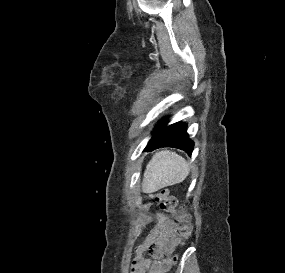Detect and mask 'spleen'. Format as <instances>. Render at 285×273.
I'll return each instance as SVG.
<instances>
[{
	"label": "spleen",
	"mask_w": 285,
	"mask_h": 273,
	"mask_svg": "<svg viewBox=\"0 0 285 273\" xmlns=\"http://www.w3.org/2000/svg\"><path fill=\"white\" fill-rule=\"evenodd\" d=\"M187 161L175 152L160 151L146 166L143 190L155 192L161 188L182 182L189 174Z\"/></svg>",
	"instance_id": "obj_1"
}]
</instances>
